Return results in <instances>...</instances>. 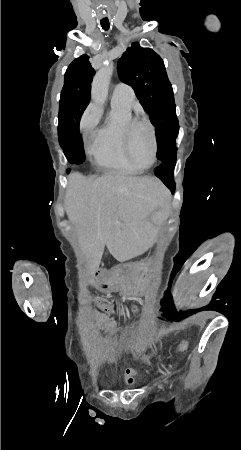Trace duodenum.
<instances>
[{"label":"duodenum","instance_id":"duodenum-1","mask_svg":"<svg viewBox=\"0 0 241 450\" xmlns=\"http://www.w3.org/2000/svg\"><path fill=\"white\" fill-rule=\"evenodd\" d=\"M95 277H96V279H100L101 277H102V273L101 272H96L95 273Z\"/></svg>","mask_w":241,"mask_h":450}]
</instances>
